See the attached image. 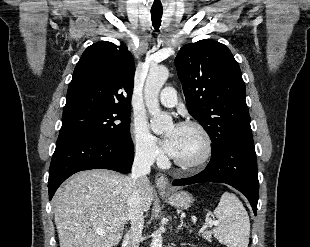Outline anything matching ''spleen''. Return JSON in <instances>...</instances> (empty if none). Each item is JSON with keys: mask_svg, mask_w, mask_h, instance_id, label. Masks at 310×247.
Segmentation results:
<instances>
[{"mask_svg": "<svg viewBox=\"0 0 310 247\" xmlns=\"http://www.w3.org/2000/svg\"><path fill=\"white\" fill-rule=\"evenodd\" d=\"M218 219L213 229L214 237L227 247H248L250 237V220L239 198L224 192L214 210Z\"/></svg>", "mask_w": 310, "mask_h": 247, "instance_id": "1", "label": "spleen"}]
</instances>
